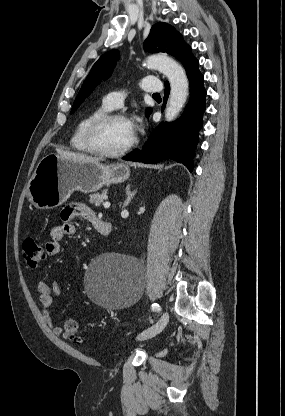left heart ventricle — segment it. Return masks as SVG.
<instances>
[{"mask_svg": "<svg viewBox=\"0 0 285 416\" xmlns=\"http://www.w3.org/2000/svg\"><path fill=\"white\" fill-rule=\"evenodd\" d=\"M127 121L113 120L101 127L98 131V142L106 149L119 150L131 140Z\"/></svg>", "mask_w": 285, "mask_h": 416, "instance_id": "obj_1", "label": "left heart ventricle"}]
</instances>
